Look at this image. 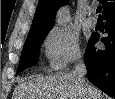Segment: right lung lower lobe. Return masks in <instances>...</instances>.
Masks as SVG:
<instances>
[{
  "label": "right lung lower lobe",
  "mask_w": 115,
  "mask_h": 99,
  "mask_svg": "<svg viewBox=\"0 0 115 99\" xmlns=\"http://www.w3.org/2000/svg\"><path fill=\"white\" fill-rule=\"evenodd\" d=\"M107 37L101 39L105 49L94 47L99 39L98 34H92L86 52L85 64L89 80L109 96L115 98V10L105 15Z\"/></svg>",
  "instance_id": "right-lung-lower-lobe-1"
}]
</instances>
